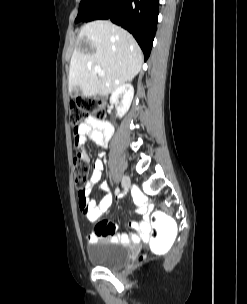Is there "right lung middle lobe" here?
I'll return each instance as SVG.
<instances>
[{
	"instance_id": "dd1d6c3e",
	"label": "right lung middle lobe",
	"mask_w": 247,
	"mask_h": 304,
	"mask_svg": "<svg viewBox=\"0 0 247 304\" xmlns=\"http://www.w3.org/2000/svg\"><path fill=\"white\" fill-rule=\"evenodd\" d=\"M103 1L104 0H81L75 23L85 20L102 4Z\"/></svg>"
}]
</instances>
